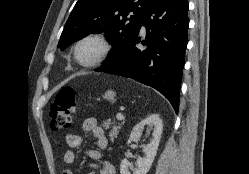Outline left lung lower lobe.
Listing matches in <instances>:
<instances>
[{
    "instance_id": "left-lung-lower-lobe-1",
    "label": "left lung lower lobe",
    "mask_w": 249,
    "mask_h": 174,
    "mask_svg": "<svg viewBox=\"0 0 249 174\" xmlns=\"http://www.w3.org/2000/svg\"><path fill=\"white\" fill-rule=\"evenodd\" d=\"M187 0H152L141 26L146 28L143 48L138 35L111 66L96 71L132 78L162 93L176 113L189 27Z\"/></svg>"
}]
</instances>
